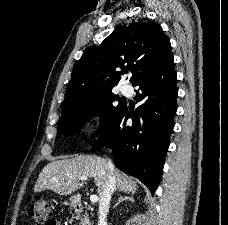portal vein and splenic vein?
<instances>
[{"label":"portal vein and splenic vein","instance_id":"obj_1","mask_svg":"<svg viewBox=\"0 0 228 225\" xmlns=\"http://www.w3.org/2000/svg\"><path fill=\"white\" fill-rule=\"evenodd\" d=\"M88 177H80V181H87ZM91 203H97L98 197L97 195H91L90 197Z\"/></svg>","mask_w":228,"mask_h":225}]
</instances>
